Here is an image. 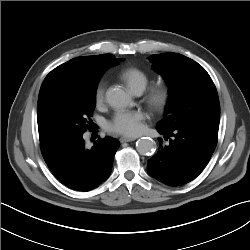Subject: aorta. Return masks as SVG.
<instances>
[{"instance_id": "1", "label": "aorta", "mask_w": 250, "mask_h": 250, "mask_svg": "<svg viewBox=\"0 0 250 250\" xmlns=\"http://www.w3.org/2000/svg\"><path fill=\"white\" fill-rule=\"evenodd\" d=\"M106 101L117 109L129 106L131 97L119 87H110L106 92ZM136 149L141 155H151L156 150V143L148 137H142L136 142Z\"/></svg>"}]
</instances>
